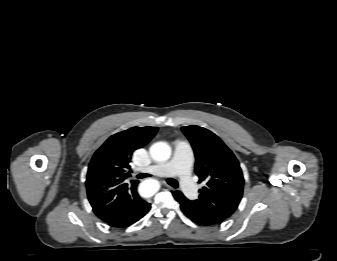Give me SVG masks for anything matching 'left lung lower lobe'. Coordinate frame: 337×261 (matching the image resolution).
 <instances>
[{"label": "left lung lower lobe", "instance_id": "1", "mask_svg": "<svg viewBox=\"0 0 337 261\" xmlns=\"http://www.w3.org/2000/svg\"><path fill=\"white\" fill-rule=\"evenodd\" d=\"M174 198L180 203L182 212L190 218L194 223L203 226H216L223 221L213 216L205 210H202L193 205L188 199H186L180 191H173Z\"/></svg>", "mask_w": 337, "mask_h": 261}]
</instances>
